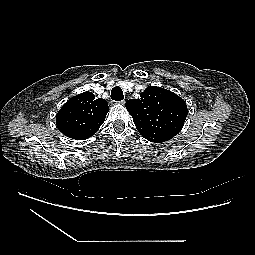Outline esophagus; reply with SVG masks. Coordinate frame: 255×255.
<instances>
[{
  "instance_id": "1",
  "label": "esophagus",
  "mask_w": 255,
  "mask_h": 255,
  "mask_svg": "<svg viewBox=\"0 0 255 255\" xmlns=\"http://www.w3.org/2000/svg\"><path fill=\"white\" fill-rule=\"evenodd\" d=\"M116 103L121 104V105H124V104H125V100L116 101ZM114 104H115V102H114Z\"/></svg>"
}]
</instances>
